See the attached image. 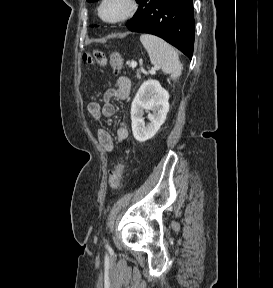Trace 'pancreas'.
<instances>
[{
    "mask_svg": "<svg viewBox=\"0 0 273 288\" xmlns=\"http://www.w3.org/2000/svg\"><path fill=\"white\" fill-rule=\"evenodd\" d=\"M140 73V71L139 70H137V74H139Z\"/></svg>",
    "mask_w": 273,
    "mask_h": 288,
    "instance_id": "cf45deb5",
    "label": "pancreas"
}]
</instances>
